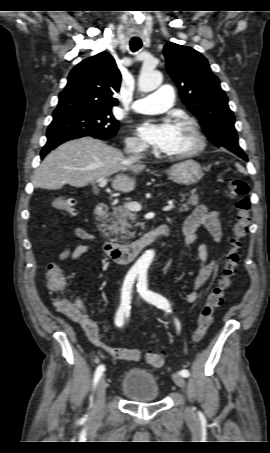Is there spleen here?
I'll return each instance as SVG.
<instances>
[{"label":"spleen","mask_w":270,"mask_h":453,"mask_svg":"<svg viewBox=\"0 0 270 453\" xmlns=\"http://www.w3.org/2000/svg\"><path fill=\"white\" fill-rule=\"evenodd\" d=\"M236 167H237V169H238L239 172H241V173H244V172H245V169H244L241 165L236 164Z\"/></svg>","instance_id":"obj_1"}]
</instances>
